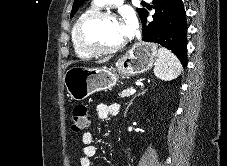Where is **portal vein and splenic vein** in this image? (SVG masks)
I'll return each instance as SVG.
<instances>
[{"label":"portal vein and splenic vein","instance_id":"portal-vein-and-splenic-vein-1","mask_svg":"<svg viewBox=\"0 0 227 166\" xmlns=\"http://www.w3.org/2000/svg\"><path fill=\"white\" fill-rule=\"evenodd\" d=\"M135 92H136V90L132 88V89L130 90L129 93H130L131 95H133Z\"/></svg>","mask_w":227,"mask_h":166}]
</instances>
